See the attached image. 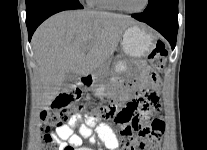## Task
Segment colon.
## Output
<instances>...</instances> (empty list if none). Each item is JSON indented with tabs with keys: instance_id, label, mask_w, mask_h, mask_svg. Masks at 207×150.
I'll use <instances>...</instances> for the list:
<instances>
[{
	"instance_id": "colon-1",
	"label": "colon",
	"mask_w": 207,
	"mask_h": 150,
	"mask_svg": "<svg viewBox=\"0 0 207 150\" xmlns=\"http://www.w3.org/2000/svg\"><path fill=\"white\" fill-rule=\"evenodd\" d=\"M168 56V51L163 42H158L148 55L150 71L148 74L150 86L141 87L137 99H130L125 108L117 111L114 104L103 107L89 108L80 104L76 110L81 113H90L92 119H114L122 129L120 132L121 150H160L165 123L161 117H156L157 107L160 105L159 87L161 79L158 73L162 72ZM65 98L71 95L65 94ZM52 108L41 114V129L49 131L65 124L72 112L62 105H70V100H53ZM131 107H134L131 108ZM41 150H72L70 146H63L57 139L48 135L44 137Z\"/></svg>"
}]
</instances>
